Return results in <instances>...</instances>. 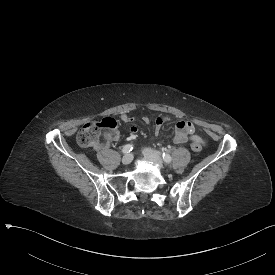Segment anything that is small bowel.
Returning a JSON list of instances; mask_svg holds the SVG:
<instances>
[{"label":"small bowel","mask_w":275,"mask_h":275,"mask_svg":"<svg viewBox=\"0 0 275 275\" xmlns=\"http://www.w3.org/2000/svg\"><path fill=\"white\" fill-rule=\"evenodd\" d=\"M121 120L125 123L133 124L135 121V118L132 115L129 114H123L121 117ZM166 122L165 117H160L156 119L155 124V135H158L161 130L162 124ZM138 129L133 126L131 128V133L136 134ZM190 140H199L201 141L200 137L196 135L195 133V126L191 121L188 120H181L176 124L175 129V135L173 137V141L176 144H183Z\"/></svg>","instance_id":"1"}]
</instances>
